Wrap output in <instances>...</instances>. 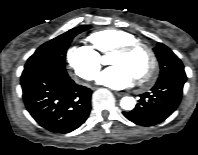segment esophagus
<instances>
[{
	"label": "esophagus",
	"instance_id": "esophagus-1",
	"mask_svg": "<svg viewBox=\"0 0 198 155\" xmlns=\"http://www.w3.org/2000/svg\"><path fill=\"white\" fill-rule=\"evenodd\" d=\"M115 95L118 96V97H122L125 95V93L123 92H115Z\"/></svg>",
	"mask_w": 198,
	"mask_h": 155
}]
</instances>
